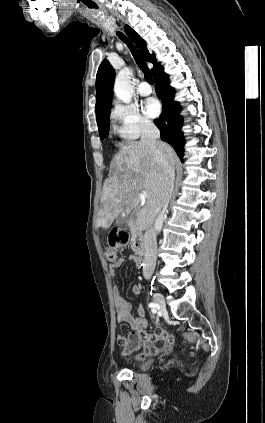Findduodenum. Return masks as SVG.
<instances>
[{
    "mask_svg": "<svg viewBox=\"0 0 265 423\" xmlns=\"http://www.w3.org/2000/svg\"><path fill=\"white\" fill-rule=\"evenodd\" d=\"M131 234H132V249L142 258L145 254V246L142 235L135 222L131 223Z\"/></svg>",
    "mask_w": 265,
    "mask_h": 423,
    "instance_id": "duodenum-1",
    "label": "duodenum"
}]
</instances>
